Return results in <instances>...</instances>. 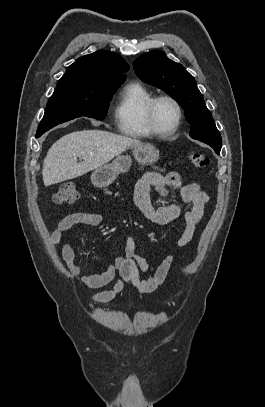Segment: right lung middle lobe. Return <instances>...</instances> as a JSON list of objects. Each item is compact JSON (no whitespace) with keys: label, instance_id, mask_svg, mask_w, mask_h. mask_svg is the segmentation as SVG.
Instances as JSON below:
<instances>
[{"label":"right lung middle lobe","instance_id":"1","mask_svg":"<svg viewBox=\"0 0 265 407\" xmlns=\"http://www.w3.org/2000/svg\"><path fill=\"white\" fill-rule=\"evenodd\" d=\"M120 85L121 83L106 81L78 82L61 78L48 100L36 136L77 117L103 119L107 114L111 97Z\"/></svg>","mask_w":265,"mask_h":407}]
</instances>
